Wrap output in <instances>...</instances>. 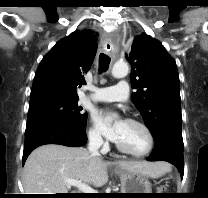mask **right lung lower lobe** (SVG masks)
Segmentation results:
<instances>
[{"label": "right lung lower lobe", "instance_id": "1", "mask_svg": "<svg viewBox=\"0 0 208 198\" xmlns=\"http://www.w3.org/2000/svg\"><path fill=\"white\" fill-rule=\"evenodd\" d=\"M87 141L84 130L58 120L45 121L26 127L22 162L37 147L45 144L83 146Z\"/></svg>", "mask_w": 208, "mask_h": 198}]
</instances>
